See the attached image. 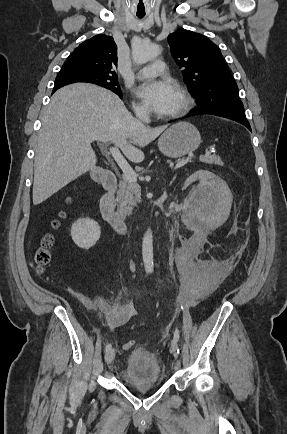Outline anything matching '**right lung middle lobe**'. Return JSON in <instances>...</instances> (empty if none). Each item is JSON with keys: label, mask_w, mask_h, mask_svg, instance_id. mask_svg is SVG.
<instances>
[{"label": "right lung middle lobe", "mask_w": 287, "mask_h": 434, "mask_svg": "<svg viewBox=\"0 0 287 434\" xmlns=\"http://www.w3.org/2000/svg\"><path fill=\"white\" fill-rule=\"evenodd\" d=\"M77 82L96 84L113 91L120 98L122 97L117 76L94 73L77 68H62L55 79V86L62 87Z\"/></svg>", "instance_id": "1"}]
</instances>
